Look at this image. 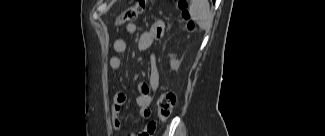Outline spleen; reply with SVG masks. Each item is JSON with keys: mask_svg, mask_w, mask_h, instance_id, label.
<instances>
[{"mask_svg": "<svg viewBox=\"0 0 325 136\" xmlns=\"http://www.w3.org/2000/svg\"><path fill=\"white\" fill-rule=\"evenodd\" d=\"M192 19L197 22L200 28L210 29L212 25V17L209 11V3L207 0H193L190 8Z\"/></svg>", "mask_w": 325, "mask_h": 136, "instance_id": "3e777b00", "label": "spleen"}]
</instances>
